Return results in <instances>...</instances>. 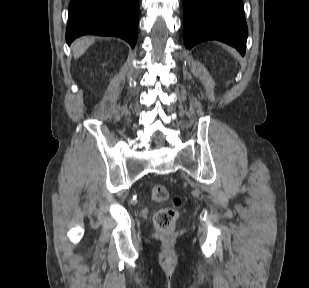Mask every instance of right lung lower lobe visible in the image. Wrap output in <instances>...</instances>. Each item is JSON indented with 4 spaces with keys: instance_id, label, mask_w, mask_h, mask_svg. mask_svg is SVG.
I'll return each instance as SVG.
<instances>
[{
    "instance_id": "98d812e1",
    "label": "right lung lower lobe",
    "mask_w": 309,
    "mask_h": 288,
    "mask_svg": "<svg viewBox=\"0 0 309 288\" xmlns=\"http://www.w3.org/2000/svg\"><path fill=\"white\" fill-rule=\"evenodd\" d=\"M139 0H71L66 41L85 34L116 36L133 48L137 39Z\"/></svg>"
}]
</instances>
